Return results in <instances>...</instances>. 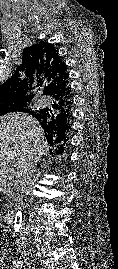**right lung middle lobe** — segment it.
<instances>
[{
  "label": "right lung middle lobe",
  "instance_id": "right-lung-middle-lobe-1",
  "mask_svg": "<svg viewBox=\"0 0 118 269\" xmlns=\"http://www.w3.org/2000/svg\"><path fill=\"white\" fill-rule=\"evenodd\" d=\"M28 102H21L16 104H8V105H1L0 106V116L16 111H24L28 107Z\"/></svg>",
  "mask_w": 118,
  "mask_h": 269
}]
</instances>
